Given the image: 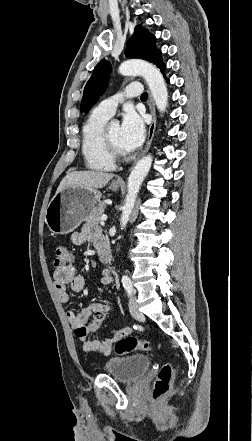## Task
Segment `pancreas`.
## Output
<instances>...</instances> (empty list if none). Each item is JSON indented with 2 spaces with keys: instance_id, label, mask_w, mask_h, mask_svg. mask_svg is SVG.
Listing matches in <instances>:
<instances>
[{
  "instance_id": "obj_1",
  "label": "pancreas",
  "mask_w": 252,
  "mask_h": 441,
  "mask_svg": "<svg viewBox=\"0 0 252 441\" xmlns=\"http://www.w3.org/2000/svg\"><path fill=\"white\" fill-rule=\"evenodd\" d=\"M105 204L99 203L97 207H95L92 212L88 215V217L85 219L88 223L97 224L100 222V217L104 213Z\"/></svg>"
}]
</instances>
